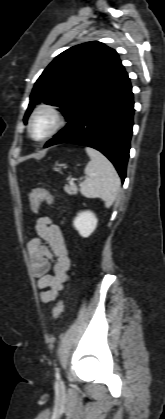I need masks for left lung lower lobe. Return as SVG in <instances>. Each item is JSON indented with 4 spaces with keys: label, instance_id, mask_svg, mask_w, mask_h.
<instances>
[{
    "label": "left lung lower lobe",
    "instance_id": "1",
    "mask_svg": "<svg viewBox=\"0 0 165 419\" xmlns=\"http://www.w3.org/2000/svg\"><path fill=\"white\" fill-rule=\"evenodd\" d=\"M133 114L132 87L124 70L96 95L89 98L44 148L59 143H74L97 149L114 164L124 181Z\"/></svg>",
    "mask_w": 165,
    "mask_h": 419
}]
</instances>
